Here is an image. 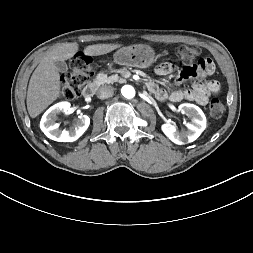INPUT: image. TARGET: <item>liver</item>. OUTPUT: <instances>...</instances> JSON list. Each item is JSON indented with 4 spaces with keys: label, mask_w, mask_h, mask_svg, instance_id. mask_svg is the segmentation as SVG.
Returning <instances> with one entry per match:
<instances>
[{
    "label": "liver",
    "mask_w": 253,
    "mask_h": 253,
    "mask_svg": "<svg viewBox=\"0 0 253 253\" xmlns=\"http://www.w3.org/2000/svg\"><path fill=\"white\" fill-rule=\"evenodd\" d=\"M120 46V44H94L87 46L84 53L90 56H99ZM78 50L79 46L76 42L63 43L48 51L42 58L28 85L27 110L30 117H37L60 96V74L55 62L72 58Z\"/></svg>",
    "instance_id": "1"
}]
</instances>
